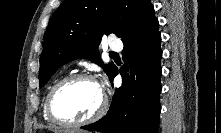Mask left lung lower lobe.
<instances>
[{
    "mask_svg": "<svg viewBox=\"0 0 221 133\" xmlns=\"http://www.w3.org/2000/svg\"><path fill=\"white\" fill-rule=\"evenodd\" d=\"M123 43L122 54L126 62L131 45L135 43L134 74L127 82L126 66L120 68V74L126 80L120 89H116L107 114L99 121L81 128L104 133H157L161 111L162 58L158 20ZM117 74L118 69L115 67L109 77L111 82Z\"/></svg>",
    "mask_w": 221,
    "mask_h": 133,
    "instance_id": "left-lung-lower-lobe-1",
    "label": "left lung lower lobe"
}]
</instances>
